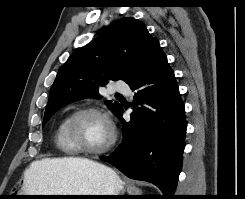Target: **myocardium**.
I'll return each mask as SVG.
<instances>
[{
    "mask_svg": "<svg viewBox=\"0 0 245 199\" xmlns=\"http://www.w3.org/2000/svg\"><path fill=\"white\" fill-rule=\"evenodd\" d=\"M86 115L100 116L104 118L106 122L108 123L109 128H110V139L107 142V144H105L103 147L95 148V149L89 148L87 146H84L77 139L74 138V128H75L77 121L81 117L86 116ZM65 132L74 150H76L79 153H84L90 156L102 155V154L107 153L114 147L117 141V132H116L114 122L111 118V115L104 109L97 108V107H86V108L78 109L75 112H73L67 119Z\"/></svg>",
    "mask_w": 245,
    "mask_h": 199,
    "instance_id": "1",
    "label": "myocardium"
}]
</instances>
